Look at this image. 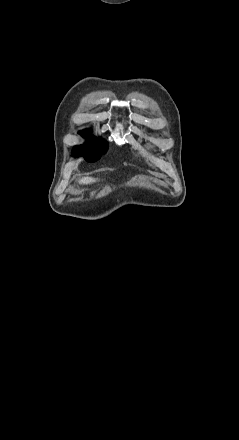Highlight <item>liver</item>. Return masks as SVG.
Masks as SVG:
<instances>
[{"label":"liver","mask_w":239,"mask_h":440,"mask_svg":"<svg viewBox=\"0 0 239 440\" xmlns=\"http://www.w3.org/2000/svg\"><path fill=\"white\" fill-rule=\"evenodd\" d=\"M91 182H95V178H82V180H79V184H91Z\"/></svg>","instance_id":"obj_1"}]
</instances>
